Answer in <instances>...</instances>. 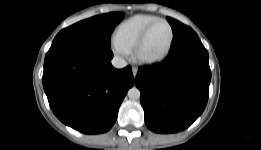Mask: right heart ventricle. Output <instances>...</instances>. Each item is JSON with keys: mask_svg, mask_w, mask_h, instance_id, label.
I'll list each match as a JSON object with an SVG mask.
<instances>
[{"mask_svg": "<svg viewBox=\"0 0 261 150\" xmlns=\"http://www.w3.org/2000/svg\"><path fill=\"white\" fill-rule=\"evenodd\" d=\"M157 16L137 14L123 22L115 29L114 40L131 51L142 31L153 21L157 20Z\"/></svg>", "mask_w": 261, "mask_h": 150, "instance_id": "e07e8e85", "label": "right heart ventricle"}]
</instances>
